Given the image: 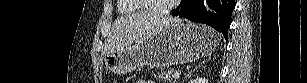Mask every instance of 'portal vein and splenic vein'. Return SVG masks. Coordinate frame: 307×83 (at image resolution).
Returning a JSON list of instances; mask_svg holds the SVG:
<instances>
[{"label": "portal vein and splenic vein", "instance_id": "18ae733b", "mask_svg": "<svg viewBox=\"0 0 307 83\" xmlns=\"http://www.w3.org/2000/svg\"><path fill=\"white\" fill-rule=\"evenodd\" d=\"M174 79H178L180 77V74L178 72L174 73L172 76Z\"/></svg>", "mask_w": 307, "mask_h": 83}]
</instances>
